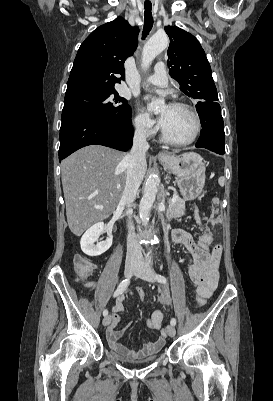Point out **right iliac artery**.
<instances>
[{"instance_id":"right-iliac-artery-1","label":"right iliac artery","mask_w":273,"mask_h":401,"mask_svg":"<svg viewBox=\"0 0 273 401\" xmlns=\"http://www.w3.org/2000/svg\"><path fill=\"white\" fill-rule=\"evenodd\" d=\"M129 283H130V279H125V280H123V281L119 284V286H118L117 290L114 292V295H113V296L116 297V296L122 294V293L126 290V288L128 287ZM107 315H108V310L105 309V310L103 311V316H107Z\"/></svg>"}]
</instances>
